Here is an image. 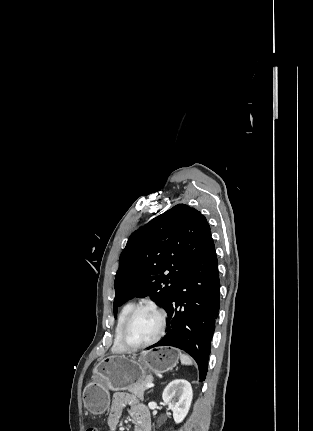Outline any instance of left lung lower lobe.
<instances>
[{
  "instance_id": "obj_1",
  "label": "left lung lower lobe",
  "mask_w": 313,
  "mask_h": 431,
  "mask_svg": "<svg viewBox=\"0 0 313 431\" xmlns=\"http://www.w3.org/2000/svg\"><path fill=\"white\" fill-rule=\"evenodd\" d=\"M219 296L218 261L210 236L165 309L168 315L165 336L150 347L173 346L186 351L198 364L200 382L207 374Z\"/></svg>"
}]
</instances>
